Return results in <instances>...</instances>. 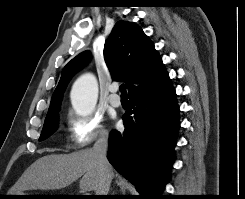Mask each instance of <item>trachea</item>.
Wrapping results in <instances>:
<instances>
[{
	"mask_svg": "<svg viewBox=\"0 0 245 199\" xmlns=\"http://www.w3.org/2000/svg\"><path fill=\"white\" fill-rule=\"evenodd\" d=\"M119 90H120L122 96H126L127 95L125 84H121L120 87H119Z\"/></svg>",
	"mask_w": 245,
	"mask_h": 199,
	"instance_id": "1",
	"label": "trachea"
}]
</instances>
